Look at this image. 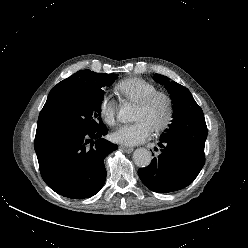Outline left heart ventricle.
Segmentation results:
<instances>
[{
  "label": "left heart ventricle",
  "instance_id": "obj_1",
  "mask_svg": "<svg viewBox=\"0 0 248 248\" xmlns=\"http://www.w3.org/2000/svg\"><path fill=\"white\" fill-rule=\"evenodd\" d=\"M165 112V102L158 100L149 109H143L137 106L134 113V120L144 121L153 129L164 118Z\"/></svg>",
  "mask_w": 248,
  "mask_h": 248
}]
</instances>
